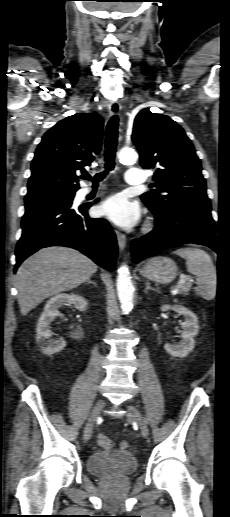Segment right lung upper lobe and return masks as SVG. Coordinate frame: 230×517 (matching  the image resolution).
<instances>
[{"mask_svg": "<svg viewBox=\"0 0 230 517\" xmlns=\"http://www.w3.org/2000/svg\"><path fill=\"white\" fill-rule=\"evenodd\" d=\"M102 134L103 119L96 112L74 114L48 130L32 160L25 204L75 194L79 189L76 172L99 153Z\"/></svg>", "mask_w": 230, "mask_h": 517, "instance_id": "right-lung-upper-lobe-1", "label": "right lung upper lobe"}]
</instances>
